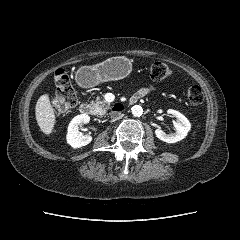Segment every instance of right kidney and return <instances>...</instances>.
Segmentation results:
<instances>
[{
  "instance_id": "ca27d5eb",
  "label": "right kidney",
  "mask_w": 240,
  "mask_h": 240,
  "mask_svg": "<svg viewBox=\"0 0 240 240\" xmlns=\"http://www.w3.org/2000/svg\"><path fill=\"white\" fill-rule=\"evenodd\" d=\"M90 116L87 114H80L75 116L68 126V133L66 136L67 143L73 148H80L86 146L92 141V137L89 135H83L79 132L78 126L81 123H88Z\"/></svg>"
}]
</instances>
